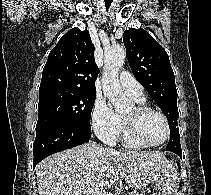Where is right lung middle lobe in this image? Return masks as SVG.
Returning <instances> with one entry per match:
<instances>
[{"label": "right lung middle lobe", "mask_w": 211, "mask_h": 195, "mask_svg": "<svg viewBox=\"0 0 211 195\" xmlns=\"http://www.w3.org/2000/svg\"><path fill=\"white\" fill-rule=\"evenodd\" d=\"M96 93L53 89L40 92L36 132L52 125L91 129L90 118Z\"/></svg>", "instance_id": "dd1d6c3e"}]
</instances>
